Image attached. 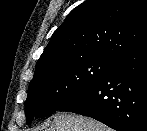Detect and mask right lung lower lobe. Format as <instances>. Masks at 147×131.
Wrapping results in <instances>:
<instances>
[{"label":"right lung lower lobe","mask_w":147,"mask_h":131,"mask_svg":"<svg viewBox=\"0 0 147 131\" xmlns=\"http://www.w3.org/2000/svg\"><path fill=\"white\" fill-rule=\"evenodd\" d=\"M59 111L94 118L117 131H147V42L117 59L97 84Z\"/></svg>","instance_id":"right-lung-lower-lobe-1"}]
</instances>
